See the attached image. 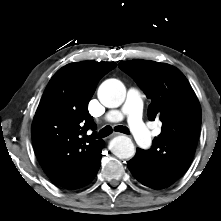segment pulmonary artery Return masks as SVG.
I'll use <instances>...</instances> for the list:
<instances>
[{"label": "pulmonary artery", "instance_id": "obj_1", "mask_svg": "<svg viewBox=\"0 0 221 221\" xmlns=\"http://www.w3.org/2000/svg\"><path fill=\"white\" fill-rule=\"evenodd\" d=\"M142 108L141 93L137 89L131 88L127 92L122 109L110 111L105 114L104 118L108 122H117L126 116L133 138L142 148L147 149L152 144V136L142 121Z\"/></svg>", "mask_w": 221, "mask_h": 221}]
</instances>
